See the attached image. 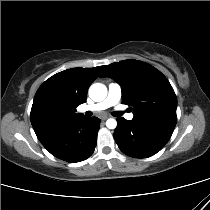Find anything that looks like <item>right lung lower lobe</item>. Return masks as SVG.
I'll return each instance as SVG.
<instances>
[{
	"label": "right lung lower lobe",
	"mask_w": 210,
	"mask_h": 210,
	"mask_svg": "<svg viewBox=\"0 0 210 210\" xmlns=\"http://www.w3.org/2000/svg\"><path fill=\"white\" fill-rule=\"evenodd\" d=\"M100 119L77 117L39 140L55 157L75 163L89 158L97 143Z\"/></svg>",
	"instance_id": "1"
}]
</instances>
